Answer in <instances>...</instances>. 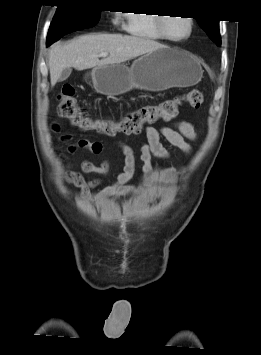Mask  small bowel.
Listing matches in <instances>:
<instances>
[{"label":"small bowel","mask_w":261,"mask_h":355,"mask_svg":"<svg viewBox=\"0 0 261 355\" xmlns=\"http://www.w3.org/2000/svg\"><path fill=\"white\" fill-rule=\"evenodd\" d=\"M146 141L140 144V160L143 162V180L137 185H129L128 182L135 172L136 158L133 149L126 143L118 142L117 146L124 156L123 171L117 176V182L102 189L92 198L91 190L99 184V179L86 181L81 172L68 171L62 175V180L80 189L81 197L85 200L103 201L106 198H120L131 195H145L150 199L165 196L169 193V188L156 185V182H166L171 180L177 170L173 167L155 169L152 166V157L166 158L169 153L164 146V139L173 147L189 154L192 151L190 141L196 139L197 134L193 125L185 120L175 121L170 125L161 128L149 126L145 129ZM74 136L65 134L61 137L62 141H71ZM78 149L87 150L93 154H101L103 144L98 141H89L84 138L78 139L69 145L68 152L73 153ZM83 173L106 174L110 170V163L104 160L99 166L90 161L81 163Z\"/></svg>","instance_id":"small-bowel-1"}]
</instances>
